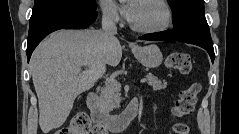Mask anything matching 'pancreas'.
<instances>
[{
  "label": "pancreas",
  "mask_w": 239,
  "mask_h": 134,
  "mask_svg": "<svg viewBox=\"0 0 239 134\" xmlns=\"http://www.w3.org/2000/svg\"><path fill=\"white\" fill-rule=\"evenodd\" d=\"M147 84L152 86L154 90H162L167 86V82L159 80L153 74L146 75ZM120 83L117 81L107 82L101 91V102L108 109L112 110L119 106Z\"/></svg>",
  "instance_id": "cf45deb5"
}]
</instances>
